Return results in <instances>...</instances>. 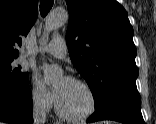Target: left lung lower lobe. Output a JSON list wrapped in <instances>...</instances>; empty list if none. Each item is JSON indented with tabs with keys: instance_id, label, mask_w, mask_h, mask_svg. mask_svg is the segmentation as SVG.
Listing matches in <instances>:
<instances>
[{
	"instance_id": "left-lung-lower-lobe-1",
	"label": "left lung lower lobe",
	"mask_w": 156,
	"mask_h": 124,
	"mask_svg": "<svg viewBox=\"0 0 156 124\" xmlns=\"http://www.w3.org/2000/svg\"><path fill=\"white\" fill-rule=\"evenodd\" d=\"M100 120H114L125 124H145L141 108L134 103L115 100L98 109L87 119V123Z\"/></svg>"
}]
</instances>
